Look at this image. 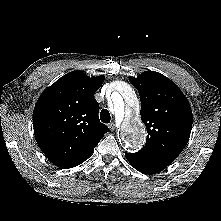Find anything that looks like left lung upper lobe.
Masks as SVG:
<instances>
[{
	"label": "left lung upper lobe",
	"mask_w": 221,
	"mask_h": 221,
	"mask_svg": "<svg viewBox=\"0 0 221 221\" xmlns=\"http://www.w3.org/2000/svg\"><path fill=\"white\" fill-rule=\"evenodd\" d=\"M141 101L147 129L145 146L135 155L170 165L184 149L192 127V111L181 90L164 75L146 71L130 78Z\"/></svg>",
	"instance_id": "1"
}]
</instances>
